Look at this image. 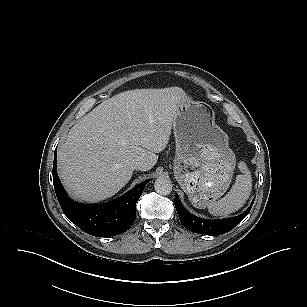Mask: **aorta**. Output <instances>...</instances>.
Returning <instances> with one entry per match:
<instances>
[{"mask_svg":"<svg viewBox=\"0 0 307 307\" xmlns=\"http://www.w3.org/2000/svg\"><path fill=\"white\" fill-rule=\"evenodd\" d=\"M172 183L170 179L159 177L154 183L155 191L160 195H169L172 191Z\"/></svg>","mask_w":307,"mask_h":307,"instance_id":"1","label":"aorta"}]
</instances>
